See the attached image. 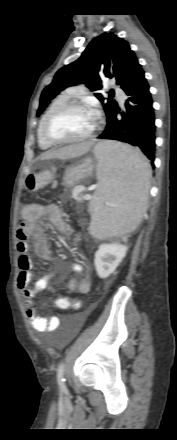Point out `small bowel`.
Wrapping results in <instances>:
<instances>
[{
  "label": "small bowel",
  "instance_id": "c3829d8e",
  "mask_svg": "<svg viewBox=\"0 0 177 440\" xmlns=\"http://www.w3.org/2000/svg\"><path fill=\"white\" fill-rule=\"evenodd\" d=\"M23 217L26 223L22 225L17 232V262L19 267L17 286L24 298L26 316L30 326L38 332H53L59 327L60 318L58 316H53L49 319L41 317L34 307V302L38 292L52 290V287L49 286V282L56 278L57 272L51 271L47 273L38 279L33 286H30L33 262L29 255L28 238L30 236L33 237L34 250L40 258L52 260L50 241L43 220L47 219L66 237H76V233L75 230L63 220L60 209L55 204H29L23 209ZM72 270L75 273H81L84 271V268L78 263H73ZM68 288L71 292H78L80 294L89 293L91 289V279L88 272L82 279L73 276L69 281ZM57 298L69 297L60 295ZM64 341L65 339H60V342Z\"/></svg>",
  "mask_w": 177,
  "mask_h": 440
}]
</instances>
